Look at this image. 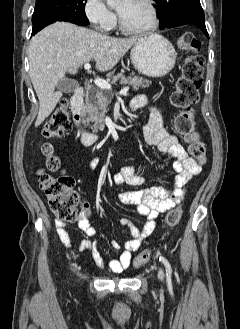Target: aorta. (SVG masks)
Returning a JSON list of instances; mask_svg holds the SVG:
<instances>
[{
  "label": "aorta",
  "instance_id": "obj_1",
  "mask_svg": "<svg viewBox=\"0 0 240 329\" xmlns=\"http://www.w3.org/2000/svg\"><path fill=\"white\" fill-rule=\"evenodd\" d=\"M106 1L109 6L114 7L120 4L123 0H106Z\"/></svg>",
  "mask_w": 240,
  "mask_h": 329
}]
</instances>
